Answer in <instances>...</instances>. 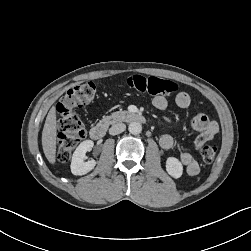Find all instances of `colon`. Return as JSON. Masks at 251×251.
Returning a JSON list of instances; mask_svg holds the SVG:
<instances>
[{"label": "colon", "instance_id": "1", "mask_svg": "<svg viewBox=\"0 0 251 251\" xmlns=\"http://www.w3.org/2000/svg\"><path fill=\"white\" fill-rule=\"evenodd\" d=\"M125 84L135 91L155 96L170 95L177 90L175 82L153 76H129L125 79ZM95 95L96 85L93 82H83L69 88L58 102L57 159L59 162H68L73 150L83 138L85 129L76 110L92 102ZM216 153L217 145L215 143L201 148V156L206 163H211L215 159Z\"/></svg>", "mask_w": 251, "mask_h": 251}]
</instances>
